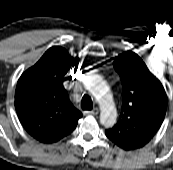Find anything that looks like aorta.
I'll list each match as a JSON object with an SVG mask.
<instances>
[{
    "instance_id": "aorta-1",
    "label": "aorta",
    "mask_w": 173,
    "mask_h": 170,
    "mask_svg": "<svg viewBox=\"0 0 173 170\" xmlns=\"http://www.w3.org/2000/svg\"><path fill=\"white\" fill-rule=\"evenodd\" d=\"M85 85L100 103V123L105 127H112L116 123L117 111L108 87L98 75L88 76Z\"/></svg>"
}]
</instances>
